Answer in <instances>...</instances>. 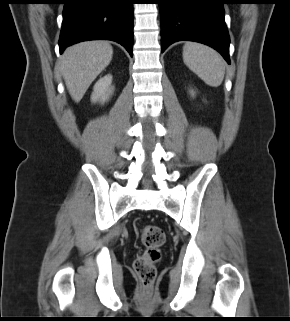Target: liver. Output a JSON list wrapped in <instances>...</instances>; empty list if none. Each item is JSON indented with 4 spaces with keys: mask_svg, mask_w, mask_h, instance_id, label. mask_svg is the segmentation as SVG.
Listing matches in <instances>:
<instances>
[{
    "mask_svg": "<svg viewBox=\"0 0 290 321\" xmlns=\"http://www.w3.org/2000/svg\"><path fill=\"white\" fill-rule=\"evenodd\" d=\"M113 48L107 41H85L65 50L59 70L75 102H79L91 83L109 65Z\"/></svg>",
    "mask_w": 290,
    "mask_h": 321,
    "instance_id": "obj_1",
    "label": "liver"
}]
</instances>
